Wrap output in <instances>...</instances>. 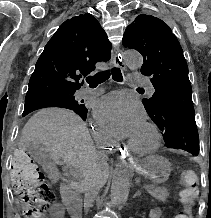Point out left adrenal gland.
Segmentation results:
<instances>
[{"instance_id": "1", "label": "left adrenal gland", "mask_w": 211, "mask_h": 218, "mask_svg": "<svg viewBox=\"0 0 211 218\" xmlns=\"http://www.w3.org/2000/svg\"><path fill=\"white\" fill-rule=\"evenodd\" d=\"M136 196H141V192H140V190H137V192H135L133 198H136Z\"/></svg>"}]
</instances>
